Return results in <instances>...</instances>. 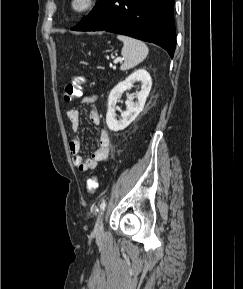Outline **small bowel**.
<instances>
[{"label":"small bowel","instance_id":"obj_1","mask_svg":"<svg viewBox=\"0 0 243 289\" xmlns=\"http://www.w3.org/2000/svg\"><path fill=\"white\" fill-rule=\"evenodd\" d=\"M99 99L97 93H90L83 97L82 103H95ZM67 117L69 119L71 129L76 132L80 126V114L78 109L72 108L68 110ZM89 120L94 125L101 122L100 114L97 109H92L89 113ZM81 142L78 138H73L69 143V151L74 166L81 172L93 170L103 161H106L110 151V137L106 129L101 128L99 131V143L90 155L85 159L80 155Z\"/></svg>","mask_w":243,"mask_h":289}]
</instances>
